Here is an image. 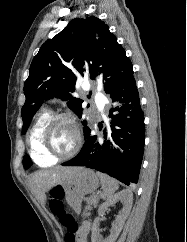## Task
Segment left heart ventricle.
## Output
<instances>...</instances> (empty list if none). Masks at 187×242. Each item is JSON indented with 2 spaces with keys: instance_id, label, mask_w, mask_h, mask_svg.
I'll return each instance as SVG.
<instances>
[{
  "instance_id": "b2bd125f",
  "label": "left heart ventricle",
  "mask_w": 187,
  "mask_h": 242,
  "mask_svg": "<svg viewBox=\"0 0 187 242\" xmlns=\"http://www.w3.org/2000/svg\"><path fill=\"white\" fill-rule=\"evenodd\" d=\"M75 144V133L72 126L66 122H58L52 128L48 137V146L54 153L69 152Z\"/></svg>"
}]
</instances>
